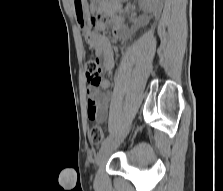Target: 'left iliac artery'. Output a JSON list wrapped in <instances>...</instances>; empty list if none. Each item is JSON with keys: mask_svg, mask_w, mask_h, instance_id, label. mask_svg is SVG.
I'll return each instance as SVG.
<instances>
[{"mask_svg": "<svg viewBox=\"0 0 223 191\" xmlns=\"http://www.w3.org/2000/svg\"><path fill=\"white\" fill-rule=\"evenodd\" d=\"M111 135L107 136L104 141L102 142L101 148L104 147L105 145H107L110 141H111Z\"/></svg>", "mask_w": 223, "mask_h": 191, "instance_id": "obj_1", "label": "left iliac artery"}]
</instances>
